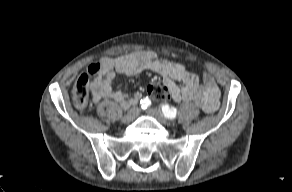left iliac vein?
<instances>
[{
  "instance_id": "obj_1",
  "label": "left iliac vein",
  "mask_w": 292,
  "mask_h": 192,
  "mask_svg": "<svg viewBox=\"0 0 292 192\" xmlns=\"http://www.w3.org/2000/svg\"><path fill=\"white\" fill-rule=\"evenodd\" d=\"M147 113L150 114L151 116H153L161 124H169L170 123V121L158 109H155V108L148 109Z\"/></svg>"
}]
</instances>
